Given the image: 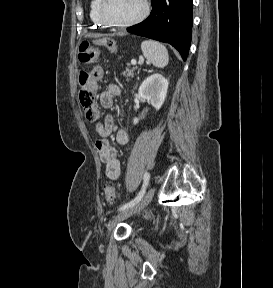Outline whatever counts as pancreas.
Returning <instances> with one entry per match:
<instances>
[{
	"label": "pancreas",
	"mask_w": 273,
	"mask_h": 288,
	"mask_svg": "<svg viewBox=\"0 0 273 288\" xmlns=\"http://www.w3.org/2000/svg\"><path fill=\"white\" fill-rule=\"evenodd\" d=\"M136 68H126L125 71L122 72L123 76L126 77H134V72H135Z\"/></svg>",
	"instance_id": "obj_1"
}]
</instances>
